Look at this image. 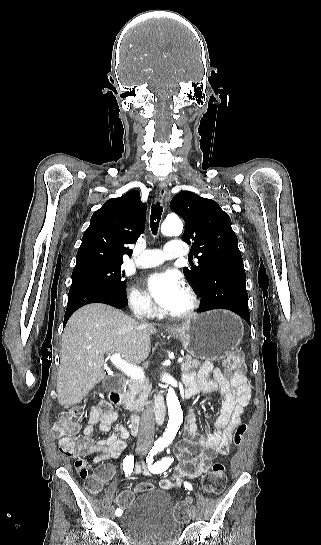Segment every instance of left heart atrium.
<instances>
[{"label": "left heart atrium", "mask_w": 321, "mask_h": 545, "mask_svg": "<svg viewBox=\"0 0 321 545\" xmlns=\"http://www.w3.org/2000/svg\"><path fill=\"white\" fill-rule=\"evenodd\" d=\"M146 287L158 309L169 313L183 289V279L173 270L156 272L147 278Z\"/></svg>", "instance_id": "39dd6f15"}]
</instances>
